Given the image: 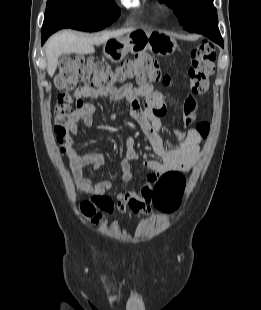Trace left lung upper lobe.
<instances>
[{
	"label": "left lung upper lobe",
	"mask_w": 261,
	"mask_h": 310,
	"mask_svg": "<svg viewBox=\"0 0 261 310\" xmlns=\"http://www.w3.org/2000/svg\"><path fill=\"white\" fill-rule=\"evenodd\" d=\"M174 9L185 30L203 20L218 23L213 0H159Z\"/></svg>",
	"instance_id": "1"
}]
</instances>
